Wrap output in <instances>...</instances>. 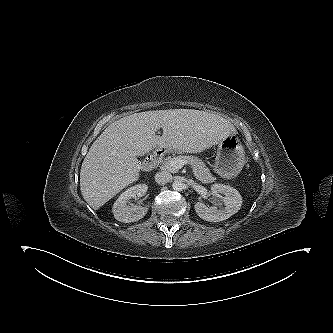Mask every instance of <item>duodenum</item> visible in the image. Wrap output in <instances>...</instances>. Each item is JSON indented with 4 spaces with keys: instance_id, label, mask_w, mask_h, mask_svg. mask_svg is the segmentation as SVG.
I'll return each mask as SVG.
<instances>
[{
    "instance_id": "obj_1",
    "label": "duodenum",
    "mask_w": 333,
    "mask_h": 333,
    "mask_svg": "<svg viewBox=\"0 0 333 333\" xmlns=\"http://www.w3.org/2000/svg\"><path fill=\"white\" fill-rule=\"evenodd\" d=\"M163 155L164 150H159L155 152L145 160L143 168L145 170H152L161 161Z\"/></svg>"
}]
</instances>
